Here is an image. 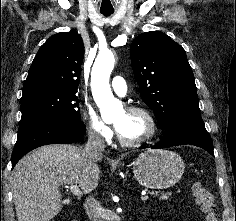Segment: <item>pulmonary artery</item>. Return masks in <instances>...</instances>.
<instances>
[{"mask_svg":"<svg viewBox=\"0 0 236 221\" xmlns=\"http://www.w3.org/2000/svg\"><path fill=\"white\" fill-rule=\"evenodd\" d=\"M111 86L114 92L120 96H123L127 93V83L125 79L121 76H115L113 77L111 81Z\"/></svg>","mask_w":236,"mask_h":221,"instance_id":"e3ab8cb5","label":"pulmonary artery"}]
</instances>
